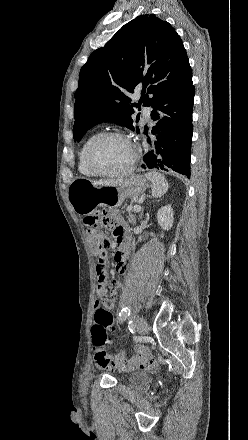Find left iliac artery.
<instances>
[{
  "label": "left iliac artery",
  "mask_w": 248,
  "mask_h": 440,
  "mask_svg": "<svg viewBox=\"0 0 248 440\" xmlns=\"http://www.w3.org/2000/svg\"><path fill=\"white\" fill-rule=\"evenodd\" d=\"M130 315H131V310L128 307L123 308L121 313H120L121 319H126V318L130 319ZM129 329H130L131 332L134 329V326H133L131 320L129 321Z\"/></svg>",
  "instance_id": "left-iliac-artery-1"
}]
</instances>
